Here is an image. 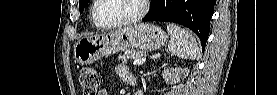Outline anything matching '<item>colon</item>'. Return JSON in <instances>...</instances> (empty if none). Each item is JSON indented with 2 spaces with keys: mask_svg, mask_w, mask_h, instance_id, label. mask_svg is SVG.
<instances>
[{
  "mask_svg": "<svg viewBox=\"0 0 277 95\" xmlns=\"http://www.w3.org/2000/svg\"><path fill=\"white\" fill-rule=\"evenodd\" d=\"M79 81L84 95L99 94L100 75L96 70L90 67L83 68L80 71Z\"/></svg>",
  "mask_w": 277,
  "mask_h": 95,
  "instance_id": "colon-1",
  "label": "colon"
}]
</instances>
